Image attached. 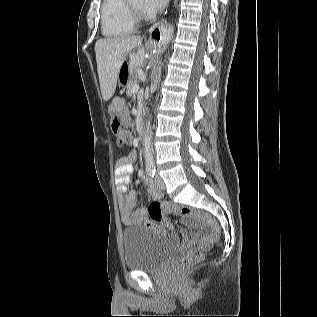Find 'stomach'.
Segmentation results:
<instances>
[{"mask_svg":"<svg viewBox=\"0 0 317 317\" xmlns=\"http://www.w3.org/2000/svg\"><path fill=\"white\" fill-rule=\"evenodd\" d=\"M143 61V55L132 54L123 56V65H120L117 69L114 82L116 94H127L126 88L130 83V77H133V74L139 71V66H142Z\"/></svg>","mask_w":317,"mask_h":317,"instance_id":"stomach-1","label":"stomach"}]
</instances>
